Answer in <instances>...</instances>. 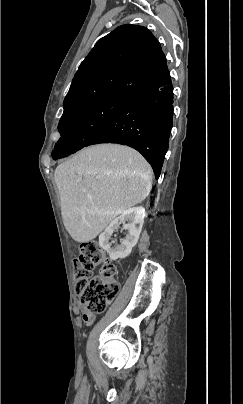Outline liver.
Here are the masks:
<instances>
[{"instance_id":"obj_1","label":"liver","mask_w":243,"mask_h":404,"mask_svg":"<svg viewBox=\"0 0 243 404\" xmlns=\"http://www.w3.org/2000/svg\"><path fill=\"white\" fill-rule=\"evenodd\" d=\"M152 170L143 156L119 144L84 148L54 172L63 224L75 242L85 244L150 194Z\"/></svg>"}]
</instances>
